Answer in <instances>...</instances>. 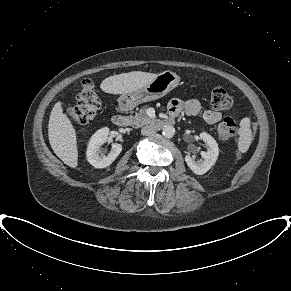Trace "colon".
<instances>
[{
	"label": "colon",
	"mask_w": 291,
	"mask_h": 291,
	"mask_svg": "<svg viewBox=\"0 0 291 291\" xmlns=\"http://www.w3.org/2000/svg\"><path fill=\"white\" fill-rule=\"evenodd\" d=\"M232 103L230 95L225 89L218 87L212 91L210 104L215 110L228 108ZM101 108V102L94 83L86 79L76 96V104L67 111L69 118L79 124L90 122ZM237 124L231 117H225L217 127V133L222 139H230L236 135Z\"/></svg>",
	"instance_id": "5ec220e1"
}]
</instances>
